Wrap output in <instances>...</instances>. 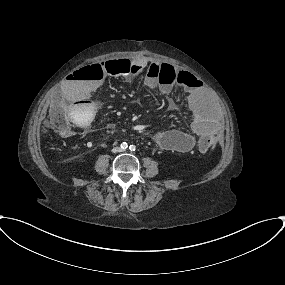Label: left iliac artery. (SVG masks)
<instances>
[{
	"label": "left iliac artery",
	"instance_id": "1",
	"mask_svg": "<svg viewBox=\"0 0 285 285\" xmlns=\"http://www.w3.org/2000/svg\"><path fill=\"white\" fill-rule=\"evenodd\" d=\"M129 149H130L131 151H135L136 147H135V145H130Z\"/></svg>",
	"mask_w": 285,
	"mask_h": 285
}]
</instances>
